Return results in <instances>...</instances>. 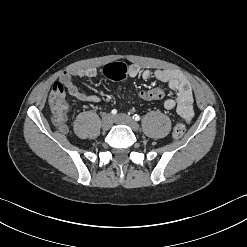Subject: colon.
<instances>
[{"label": "colon", "instance_id": "1", "mask_svg": "<svg viewBox=\"0 0 247 247\" xmlns=\"http://www.w3.org/2000/svg\"><path fill=\"white\" fill-rule=\"evenodd\" d=\"M104 75L114 81H123L129 75L128 66L124 63H111L105 66L103 70ZM141 99L146 101H153L162 99L164 93L159 88L141 91L139 93ZM49 106L54 123L60 130L66 128L67 117V101L65 98V91L61 84L55 83L49 96ZM186 132V126L183 120H180L173 129V137L180 139Z\"/></svg>", "mask_w": 247, "mask_h": 247}]
</instances>
